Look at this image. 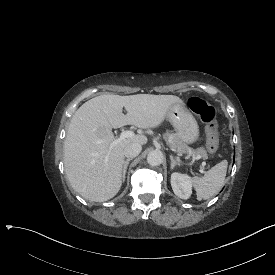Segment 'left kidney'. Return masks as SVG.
Listing matches in <instances>:
<instances>
[{
	"label": "left kidney",
	"instance_id": "left-kidney-1",
	"mask_svg": "<svg viewBox=\"0 0 275 275\" xmlns=\"http://www.w3.org/2000/svg\"><path fill=\"white\" fill-rule=\"evenodd\" d=\"M170 182L174 193L178 197L188 199L192 195L193 181L188 174L173 172L170 176Z\"/></svg>",
	"mask_w": 275,
	"mask_h": 275
}]
</instances>
